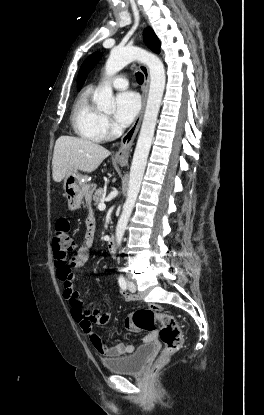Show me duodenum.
Here are the masks:
<instances>
[{
	"instance_id": "duodenum-1",
	"label": "duodenum",
	"mask_w": 264,
	"mask_h": 415,
	"mask_svg": "<svg viewBox=\"0 0 264 415\" xmlns=\"http://www.w3.org/2000/svg\"><path fill=\"white\" fill-rule=\"evenodd\" d=\"M93 224H94V222H93ZM106 247H107L108 252L111 255H114L116 253V242H115L114 236H109L106 239Z\"/></svg>"
}]
</instances>
